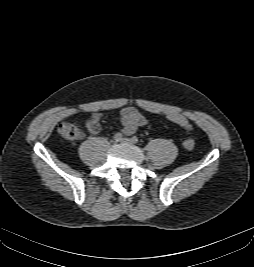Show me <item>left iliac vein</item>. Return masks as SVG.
Returning <instances> with one entry per match:
<instances>
[{"instance_id": "left-iliac-vein-1", "label": "left iliac vein", "mask_w": 254, "mask_h": 267, "mask_svg": "<svg viewBox=\"0 0 254 267\" xmlns=\"http://www.w3.org/2000/svg\"><path fill=\"white\" fill-rule=\"evenodd\" d=\"M121 142H122V143H128V144H132V143H133L132 140L129 139V138H123V139L121 140Z\"/></svg>"}]
</instances>
